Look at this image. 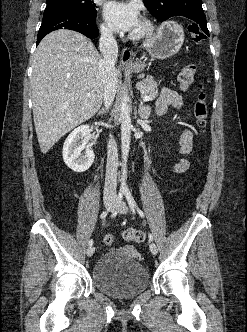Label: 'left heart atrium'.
Segmentation results:
<instances>
[{
    "label": "left heart atrium",
    "mask_w": 247,
    "mask_h": 332,
    "mask_svg": "<svg viewBox=\"0 0 247 332\" xmlns=\"http://www.w3.org/2000/svg\"><path fill=\"white\" fill-rule=\"evenodd\" d=\"M104 16L117 31L134 32L140 24L138 6L132 2H110L105 7Z\"/></svg>",
    "instance_id": "39dd6f15"
}]
</instances>
